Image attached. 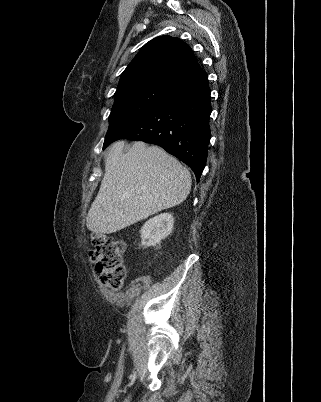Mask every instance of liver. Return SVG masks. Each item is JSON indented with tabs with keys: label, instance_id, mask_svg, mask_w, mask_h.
<instances>
[{
	"label": "liver",
	"instance_id": "obj_1",
	"mask_svg": "<svg viewBox=\"0 0 321 402\" xmlns=\"http://www.w3.org/2000/svg\"><path fill=\"white\" fill-rule=\"evenodd\" d=\"M125 142L110 149L97 197L87 214V228L111 234L161 210L182 203L190 193L188 169L158 146Z\"/></svg>",
	"mask_w": 321,
	"mask_h": 402
}]
</instances>
